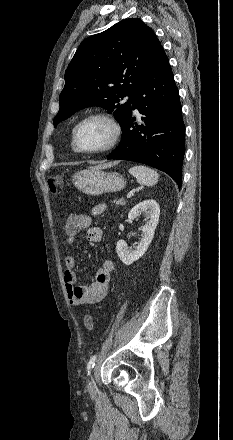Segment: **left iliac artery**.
I'll return each instance as SVG.
<instances>
[{"instance_id":"1","label":"left iliac artery","mask_w":233,"mask_h":440,"mask_svg":"<svg viewBox=\"0 0 233 440\" xmlns=\"http://www.w3.org/2000/svg\"><path fill=\"white\" fill-rule=\"evenodd\" d=\"M97 360V355H93L87 364V373L90 374L91 369L94 367Z\"/></svg>"}]
</instances>
